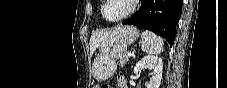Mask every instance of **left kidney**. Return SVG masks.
Listing matches in <instances>:
<instances>
[{
	"label": "left kidney",
	"mask_w": 227,
	"mask_h": 88,
	"mask_svg": "<svg viewBox=\"0 0 227 88\" xmlns=\"http://www.w3.org/2000/svg\"><path fill=\"white\" fill-rule=\"evenodd\" d=\"M146 68L153 70L151 73L152 77L147 83L146 88H159L162 79V59L158 56L147 55L136 64L134 73H141Z\"/></svg>",
	"instance_id": "obj_1"
}]
</instances>
